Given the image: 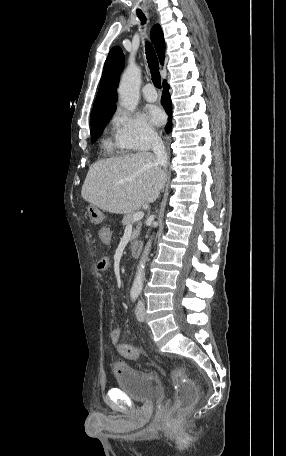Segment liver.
<instances>
[{
  "label": "liver",
  "mask_w": 286,
  "mask_h": 456,
  "mask_svg": "<svg viewBox=\"0 0 286 456\" xmlns=\"http://www.w3.org/2000/svg\"><path fill=\"white\" fill-rule=\"evenodd\" d=\"M166 173L150 152L97 161L82 186L84 200L109 213L127 214L153 203Z\"/></svg>",
  "instance_id": "1"
}]
</instances>
